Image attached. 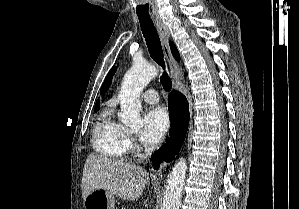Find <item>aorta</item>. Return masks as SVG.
Wrapping results in <instances>:
<instances>
[{"instance_id": "obj_1", "label": "aorta", "mask_w": 299, "mask_h": 209, "mask_svg": "<svg viewBox=\"0 0 299 209\" xmlns=\"http://www.w3.org/2000/svg\"><path fill=\"white\" fill-rule=\"evenodd\" d=\"M158 74L155 66L135 62L125 74L121 91L118 95L121 112L120 120L132 129H140L143 122L140 117L141 103L139 97L146 85ZM187 171L184 158H180L169 174L161 209H179L183 185Z\"/></svg>"}]
</instances>
